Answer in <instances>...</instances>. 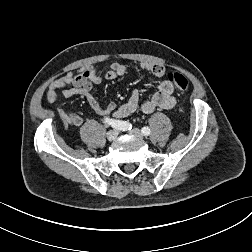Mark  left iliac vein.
<instances>
[{"label":"left iliac vein","mask_w":252,"mask_h":252,"mask_svg":"<svg viewBox=\"0 0 252 252\" xmlns=\"http://www.w3.org/2000/svg\"><path fill=\"white\" fill-rule=\"evenodd\" d=\"M130 134H132V135H135V136H137V137H142V133L140 132V130L139 129H133V130H131L130 131Z\"/></svg>","instance_id":"1"}]
</instances>
